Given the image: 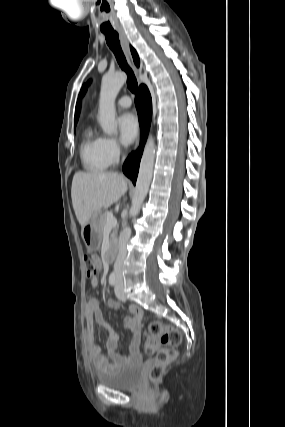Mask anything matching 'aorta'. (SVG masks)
<instances>
[{"label":"aorta","mask_w":285,"mask_h":427,"mask_svg":"<svg viewBox=\"0 0 285 427\" xmlns=\"http://www.w3.org/2000/svg\"><path fill=\"white\" fill-rule=\"evenodd\" d=\"M125 82L126 75L124 73L105 75L102 78L98 121L103 132L107 135H112L117 131L115 99ZM155 152L154 139L149 136L141 158L132 206L129 211L131 217L137 216L147 196L153 174Z\"/></svg>","instance_id":"aorta-1"}]
</instances>
